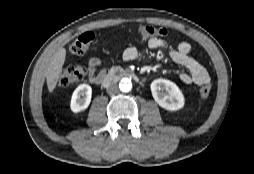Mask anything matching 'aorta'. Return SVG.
<instances>
[{"label": "aorta", "instance_id": "762f6f07", "mask_svg": "<svg viewBox=\"0 0 254 174\" xmlns=\"http://www.w3.org/2000/svg\"><path fill=\"white\" fill-rule=\"evenodd\" d=\"M119 89L122 92H129L132 89V83L129 78H123L119 82Z\"/></svg>", "mask_w": 254, "mask_h": 174}]
</instances>
